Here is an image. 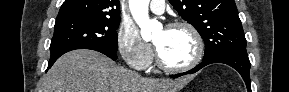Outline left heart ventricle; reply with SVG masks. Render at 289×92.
I'll return each mask as SVG.
<instances>
[{"instance_id": "left-heart-ventricle-1", "label": "left heart ventricle", "mask_w": 289, "mask_h": 92, "mask_svg": "<svg viewBox=\"0 0 289 92\" xmlns=\"http://www.w3.org/2000/svg\"><path fill=\"white\" fill-rule=\"evenodd\" d=\"M154 41L160 56L169 65H185L195 55L194 39L186 29L160 30L156 33Z\"/></svg>"}]
</instances>
